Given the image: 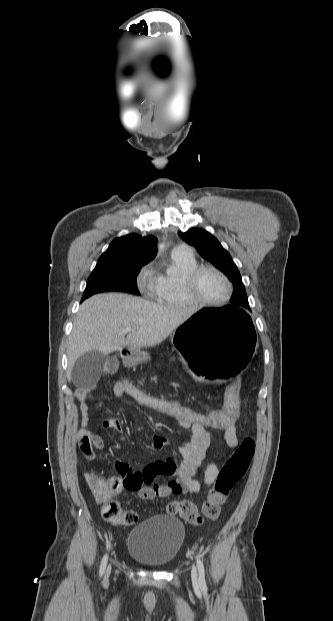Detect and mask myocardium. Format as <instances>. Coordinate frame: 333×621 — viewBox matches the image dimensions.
<instances>
[{"label":"myocardium","instance_id":"f54148a6","mask_svg":"<svg viewBox=\"0 0 333 621\" xmlns=\"http://www.w3.org/2000/svg\"><path fill=\"white\" fill-rule=\"evenodd\" d=\"M208 271L217 274L226 283L228 290L224 298L217 300V301H209V300L202 299L196 293V284H197L198 278L201 276V274H203L204 272H208ZM183 288H184V292L186 296L191 301V303L195 305H201V306L224 305L230 300L233 294V290H234L233 284L231 280L228 278V276L220 269L214 266H210V265L197 266L195 269L190 271L184 278Z\"/></svg>","mask_w":333,"mask_h":621}]
</instances>
